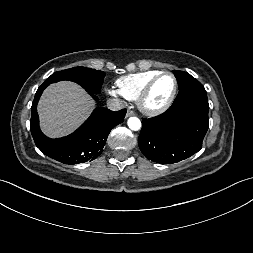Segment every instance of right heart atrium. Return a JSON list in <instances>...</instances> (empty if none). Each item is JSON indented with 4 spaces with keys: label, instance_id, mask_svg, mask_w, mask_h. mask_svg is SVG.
I'll return each instance as SVG.
<instances>
[{
    "label": "right heart atrium",
    "instance_id": "right-heart-atrium-1",
    "mask_svg": "<svg viewBox=\"0 0 253 253\" xmlns=\"http://www.w3.org/2000/svg\"><path fill=\"white\" fill-rule=\"evenodd\" d=\"M108 92H109V94H111L112 96H120V93L118 92V90L109 89Z\"/></svg>",
    "mask_w": 253,
    "mask_h": 253
}]
</instances>
